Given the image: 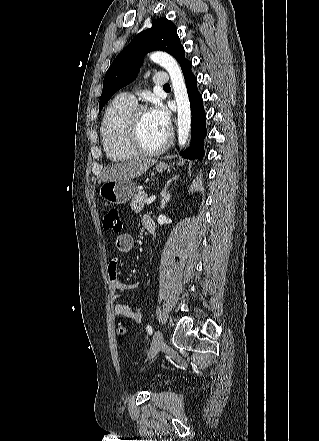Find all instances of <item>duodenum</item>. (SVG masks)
Returning <instances> with one entry per match:
<instances>
[{"mask_svg": "<svg viewBox=\"0 0 319 441\" xmlns=\"http://www.w3.org/2000/svg\"><path fill=\"white\" fill-rule=\"evenodd\" d=\"M147 230L152 233L155 230V225L154 224H148L146 226Z\"/></svg>", "mask_w": 319, "mask_h": 441, "instance_id": "1", "label": "duodenum"}]
</instances>
